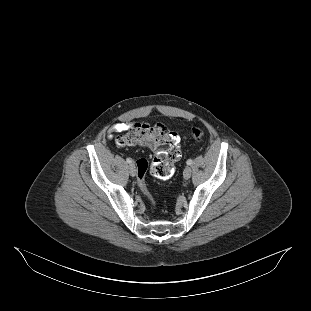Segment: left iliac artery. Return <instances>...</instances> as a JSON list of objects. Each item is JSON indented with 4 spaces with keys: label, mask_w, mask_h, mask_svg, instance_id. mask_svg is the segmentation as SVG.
Here are the masks:
<instances>
[{
    "label": "left iliac artery",
    "mask_w": 311,
    "mask_h": 311,
    "mask_svg": "<svg viewBox=\"0 0 311 311\" xmlns=\"http://www.w3.org/2000/svg\"><path fill=\"white\" fill-rule=\"evenodd\" d=\"M187 165H191L193 163V161L191 159L187 160Z\"/></svg>",
    "instance_id": "obj_1"
}]
</instances>
